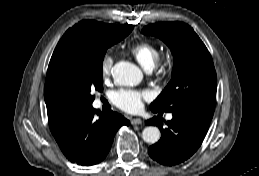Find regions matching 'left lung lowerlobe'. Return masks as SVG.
<instances>
[{
	"label": "left lung lower lobe",
	"instance_id": "0a47b994",
	"mask_svg": "<svg viewBox=\"0 0 259 176\" xmlns=\"http://www.w3.org/2000/svg\"><path fill=\"white\" fill-rule=\"evenodd\" d=\"M172 120L163 122L154 117L146 124L160 128V140L149 147L152 159L163 165H177L190 158L202 144L212 118L191 111L173 112Z\"/></svg>",
	"mask_w": 259,
	"mask_h": 176
}]
</instances>
